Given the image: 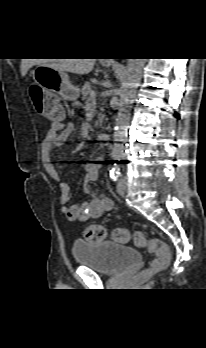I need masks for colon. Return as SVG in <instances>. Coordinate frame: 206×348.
<instances>
[{"label":"colon","mask_w":206,"mask_h":348,"mask_svg":"<svg viewBox=\"0 0 206 348\" xmlns=\"http://www.w3.org/2000/svg\"><path fill=\"white\" fill-rule=\"evenodd\" d=\"M29 94L36 109L43 115L52 119L55 123L62 122L63 111L52 95H47L45 91L38 85H31ZM84 236L87 241L98 242L103 241L107 237V230L104 226L93 224L86 227ZM112 238L116 242L125 243L131 239V233L124 228H117L112 232ZM133 240L136 246L155 254V258L151 262L149 272H157L164 270L170 260V250L167 244L156 238H146L142 233L135 232Z\"/></svg>","instance_id":"1"}]
</instances>
